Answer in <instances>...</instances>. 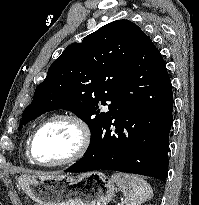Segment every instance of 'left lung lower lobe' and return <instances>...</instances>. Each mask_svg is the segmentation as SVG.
<instances>
[{"instance_id": "0a47b994", "label": "left lung lower lobe", "mask_w": 199, "mask_h": 205, "mask_svg": "<svg viewBox=\"0 0 199 205\" xmlns=\"http://www.w3.org/2000/svg\"><path fill=\"white\" fill-rule=\"evenodd\" d=\"M172 111L166 64L144 35L123 86L109 107L110 119L85 155L65 172L114 170L165 181Z\"/></svg>"}]
</instances>
